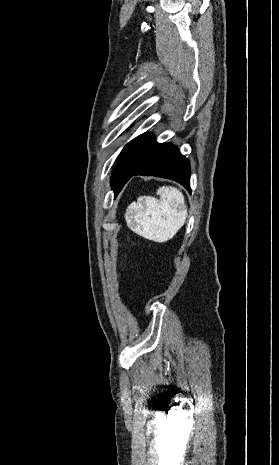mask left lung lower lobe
Here are the masks:
<instances>
[{
    "instance_id": "0a47b994",
    "label": "left lung lower lobe",
    "mask_w": 279,
    "mask_h": 465,
    "mask_svg": "<svg viewBox=\"0 0 279 465\" xmlns=\"http://www.w3.org/2000/svg\"><path fill=\"white\" fill-rule=\"evenodd\" d=\"M157 176L177 181L189 192L190 163L179 149L171 143H164L132 176ZM121 190V189H120ZM118 190L117 193L120 191ZM116 193V194H117Z\"/></svg>"
}]
</instances>
